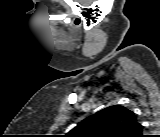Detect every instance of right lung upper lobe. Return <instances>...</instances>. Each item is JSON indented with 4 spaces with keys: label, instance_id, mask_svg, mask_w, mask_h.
I'll return each mask as SVG.
<instances>
[{
    "label": "right lung upper lobe",
    "instance_id": "right-lung-upper-lobe-1",
    "mask_svg": "<svg viewBox=\"0 0 160 137\" xmlns=\"http://www.w3.org/2000/svg\"><path fill=\"white\" fill-rule=\"evenodd\" d=\"M142 132L143 126L131 110L114 105L87 117L69 134L71 137H140Z\"/></svg>",
    "mask_w": 160,
    "mask_h": 137
}]
</instances>
